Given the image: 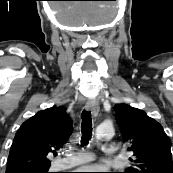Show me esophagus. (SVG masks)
<instances>
[{"instance_id": "esophagus-1", "label": "esophagus", "mask_w": 173, "mask_h": 173, "mask_svg": "<svg viewBox=\"0 0 173 173\" xmlns=\"http://www.w3.org/2000/svg\"><path fill=\"white\" fill-rule=\"evenodd\" d=\"M85 109L90 111L94 117H97L100 109L98 101L96 99H89L85 104Z\"/></svg>"}]
</instances>
